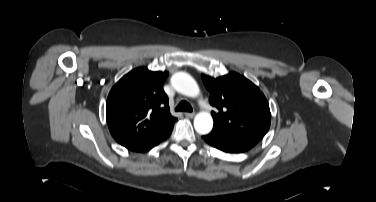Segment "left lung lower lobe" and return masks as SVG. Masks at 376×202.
Listing matches in <instances>:
<instances>
[{
    "label": "left lung lower lobe",
    "mask_w": 376,
    "mask_h": 202,
    "mask_svg": "<svg viewBox=\"0 0 376 202\" xmlns=\"http://www.w3.org/2000/svg\"><path fill=\"white\" fill-rule=\"evenodd\" d=\"M203 139L211 146L228 153L247 151L260 141L216 125Z\"/></svg>",
    "instance_id": "1"
}]
</instances>
